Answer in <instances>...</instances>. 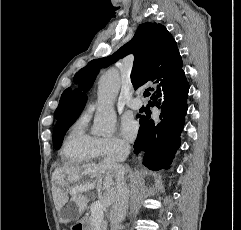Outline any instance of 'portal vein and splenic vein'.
<instances>
[{
	"mask_svg": "<svg viewBox=\"0 0 241 230\" xmlns=\"http://www.w3.org/2000/svg\"><path fill=\"white\" fill-rule=\"evenodd\" d=\"M86 190L88 188H85ZM109 204L106 200H99L92 204L91 206V216H92V222L95 225H100L103 221L104 214L103 209L104 207Z\"/></svg>",
	"mask_w": 241,
	"mask_h": 230,
	"instance_id": "obj_1",
	"label": "portal vein and splenic vein"
}]
</instances>
